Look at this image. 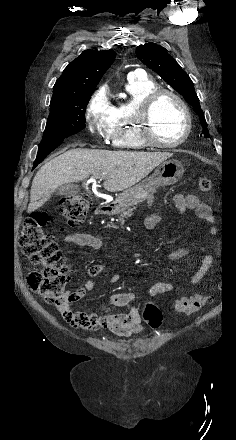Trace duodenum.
<instances>
[{"label": "duodenum", "mask_w": 236, "mask_h": 440, "mask_svg": "<svg viewBox=\"0 0 236 440\" xmlns=\"http://www.w3.org/2000/svg\"><path fill=\"white\" fill-rule=\"evenodd\" d=\"M113 209H114L113 203H110V202L102 203L101 205H99L96 208L95 215L96 216H103V215L110 213Z\"/></svg>", "instance_id": "410a0bca"}]
</instances>
